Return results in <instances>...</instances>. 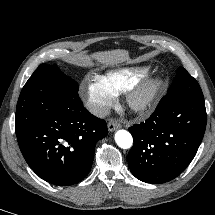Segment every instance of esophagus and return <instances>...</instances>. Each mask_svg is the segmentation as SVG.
<instances>
[{
	"label": "esophagus",
	"mask_w": 215,
	"mask_h": 215,
	"mask_svg": "<svg viewBox=\"0 0 215 215\" xmlns=\"http://www.w3.org/2000/svg\"><path fill=\"white\" fill-rule=\"evenodd\" d=\"M119 128H121V124L120 123H118L116 121H112V120L108 122V130L109 131L112 132V131L117 130Z\"/></svg>",
	"instance_id": "esophagus-1"
}]
</instances>
